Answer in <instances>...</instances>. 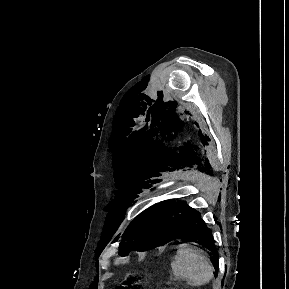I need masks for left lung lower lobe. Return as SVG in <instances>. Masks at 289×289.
<instances>
[{"mask_svg": "<svg viewBox=\"0 0 289 289\" xmlns=\"http://www.w3.org/2000/svg\"><path fill=\"white\" fill-rule=\"evenodd\" d=\"M184 205L182 202L172 200L161 209L168 220V241L180 238L198 243L209 249L217 260V250L211 230L200 218L198 211ZM214 267L218 271L216 264Z\"/></svg>", "mask_w": 289, "mask_h": 289, "instance_id": "0a47b994", "label": "left lung lower lobe"}]
</instances>
